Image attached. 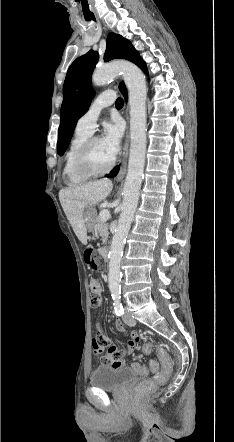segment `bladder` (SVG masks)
<instances>
[{"label":"bladder","mask_w":234,"mask_h":442,"mask_svg":"<svg viewBox=\"0 0 234 442\" xmlns=\"http://www.w3.org/2000/svg\"><path fill=\"white\" fill-rule=\"evenodd\" d=\"M137 372L128 366L99 365L90 375V384L103 390H118L131 383Z\"/></svg>","instance_id":"1"}]
</instances>
